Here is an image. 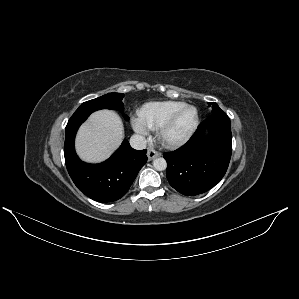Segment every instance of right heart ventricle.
<instances>
[{"mask_svg":"<svg viewBox=\"0 0 299 299\" xmlns=\"http://www.w3.org/2000/svg\"><path fill=\"white\" fill-rule=\"evenodd\" d=\"M186 103L180 101H156L145 104L139 111L141 121L150 129H158L164 121Z\"/></svg>","mask_w":299,"mask_h":299,"instance_id":"obj_1","label":"right heart ventricle"}]
</instances>
